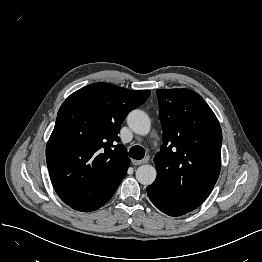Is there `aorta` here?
Returning a JSON list of instances; mask_svg holds the SVG:
<instances>
[{
    "label": "aorta",
    "instance_id": "aorta-1",
    "mask_svg": "<svg viewBox=\"0 0 262 262\" xmlns=\"http://www.w3.org/2000/svg\"><path fill=\"white\" fill-rule=\"evenodd\" d=\"M128 126L139 135H147L151 128L148 115L138 109L132 110L127 116ZM157 176V171L152 165H141L136 170V179L142 185H151Z\"/></svg>",
    "mask_w": 262,
    "mask_h": 262
}]
</instances>
